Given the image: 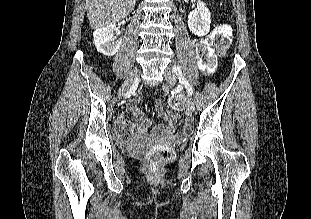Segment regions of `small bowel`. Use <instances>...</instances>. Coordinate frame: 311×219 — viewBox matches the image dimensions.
I'll return each mask as SVG.
<instances>
[{"label":"small bowel","instance_id":"1","mask_svg":"<svg viewBox=\"0 0 311 219\" xmlns=\"http://www.w3.org/2000/svg\"><path fill=\"white\" fill-rule=\"evenodd\" d=\"M126 109L133 115L134 118L133 124L131 125L130 134L136 139H145L148 134V128L151 126L152 121L148 118L143 117V113L139 109V97L136 96L131 99L127 104ZM158 110L166 118L167 124L157 127L154 131V136H168L177 139H183L186 134L190 132L191 126L190 122L187 119L183 121V129L176 131L175 126L179 123L180 116L177 114L167 115V112H164L161 103L158 104ZM124 123V116H120L118 122V129H120V126H122V124ZM119 133L121 136H123L126 135L128 131L126 130L124 133H121L119 131Z\"/></svg>","mask_w":311,"mask_h":219}]
</instances>
